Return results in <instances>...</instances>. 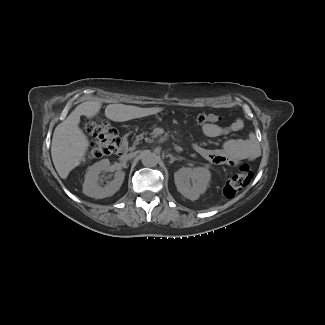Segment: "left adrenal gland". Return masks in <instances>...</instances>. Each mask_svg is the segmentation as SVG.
<instances>
[{"mask_svg":"<svg viewBox=\"0 0 325 325\" xmlns=\"http://www.w3.org/2000/svg\"><path fill=\"white\" fill-rule=\"evenodd\" d=\"M168 157L170 158V163L172 164L176 160H182V157H174L172 154H168Z\"/></svg>","mask_w":325,"mask_h":325,"instance_id":"1","label":"left adrenal gland"}]
</instances>
